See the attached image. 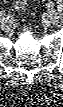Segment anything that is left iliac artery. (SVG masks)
<instances>
[{
    "label": "left iliac artery",
    "instance_id": "44dca946",
    "mask_svg": "<svg viewBox=\"0 0 63 107\" xmlns=\"http://www.w3.org/2000/svg\"><path fill=\"white\" fill-rule=\"evenodd\" d=\"M47 7L49 9H52L54 7V4L50 1L49 3H47Z\"/></svg>",
    "mask_w": 63,
    "mask_h": 107
}]
</instances>
